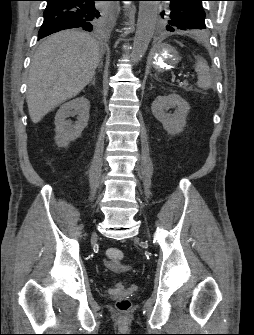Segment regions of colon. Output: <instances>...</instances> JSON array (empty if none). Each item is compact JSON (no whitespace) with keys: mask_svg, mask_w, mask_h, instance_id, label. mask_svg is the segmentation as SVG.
<instances>
[{"mask_svg":"<svg viewBox=\"0 0 254 335\" xmlns=\"http://www.w3.org/2000/svg\"><path fill=\"white\" fill-rule=\"evenodd\" d=\"M109 264L113 268H118L122 265L124 260V254L120 249L109 248L106 251ZM131 303L128 299L123 298L117 301L116 307L120 312H127L130 309Z\"/></svg>","mask_w":254,"mask_h":335,"instance_id":"5ec220e1","label":"colon"}]
</instances>
